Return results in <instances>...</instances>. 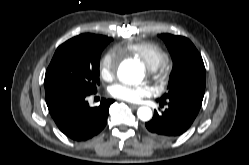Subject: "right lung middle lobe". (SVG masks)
Wrapping results in <instances>:
<instances>
[{"label": "right lung middle lobe", "instance_id": "obj_1", "mask_svg": "<svg viewBox=\"0 0 249 165\" xmlns=\"http://www.w3.org/2000/svg\"><path fill=\"white\" fill-rule=\"evenodd\" d=\"M109 41L82 34L60 45L45 74V92L94 93L99 85L100 55Z\"/></svg>", "mask_w": 249, "mask_h": 165}]
</instances>
